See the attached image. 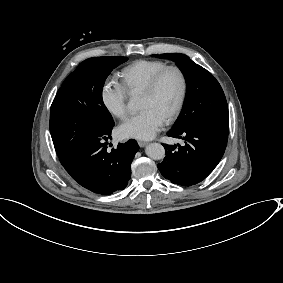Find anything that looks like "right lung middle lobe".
<instances>
[{
    "mask_svg": "<svg viewBox=\"0 0 283 283\" xmlns=\"http://www.w3.org/2000/svg\"><path fill=\"white\" fill-rule=\"evenodd\" d=\"M127 57L105 56L84 60L65 79L51 105L50 133L59 158L86 138L114 124L102 99L106 78Z\"/></svg>",
    "mask_w": 283,
    "mask_h": 283,
    "instance_id": "dd1d6c3e",
    "label": "right lung middle lobe"
}]
</instances>
